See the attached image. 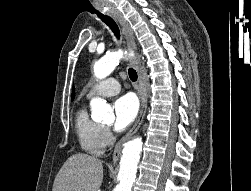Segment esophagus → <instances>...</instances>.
<instances>
[{
  "label": "esophagus",
  "mask_w": 251,
  "mask_h": 191,
  "mask_svg": "<svg viewBox=\"0 0 251 191\" xmlns=\"http://www.w3.org/2000/svg\"><path fill=\"white\" fill-rule=\"evenodd\" d=\"M110 13H111V15H113V17H115L118 20V22L120 23V25L122 27V33H123L127 48L130 50H133V51H137V46L135 43V37L133 35V31L131 30L130 26L126 22L125 18L118 11L110 12ZM131 64L138 71L139 78L141 80L142 75H141V71L139 69V67H140L139 57L135 56L134 58H132ZM140 83L142 84V82H140ZM141 99H142V105H141L140 113H139V116H138L136 122L134 123L131 130L128 131V133H126V135L122 136V138L119 139V141L116 143V146L113 151V157H112L113 163H116L118 161V159L120 157L122 146L124 145L125 142H127V140H129L139 130V128L144 120V117L146 114V109H147V96H146L145 91L141 92Z\"/></svg>",
  "instance_id": "obj_1"
}]
</instances>
